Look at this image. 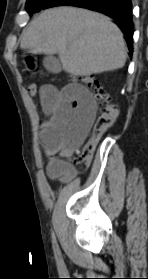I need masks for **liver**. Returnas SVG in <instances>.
Returning <instances> with one entry per match:
<instances>
[{
    "mask_svg": "<svg viewBox=\"0 0 148 279\" xmlns=\"http://www.w3.org/2000/svg\"><path fill=\"white\" fill-rule=\"evenodd\" d=\"M21 48L58 53L64 71L75 76L120 69L126 62L120 29L105 15L74 7L42 12L23 34Z\"/></svg>",
    "mask_w": 148,
    "mask_h": 279,
    "instance_id": "liver-1",
    "label": "liver"
}]
</instances>
